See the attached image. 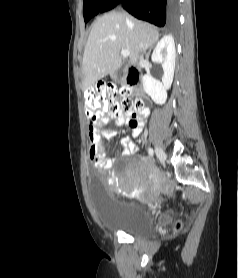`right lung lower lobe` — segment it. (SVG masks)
<instances>
[{
  "mask_svg": "<svg viewBox=\"0 0 238 278\" xmlns=\"http://www.w3.org/2000/svg\"><path fill=\"white\" fill-rule=\"evenodd\" d=\"M118 5L136 18L160 27L173 25L177 21L178 0H104L95 15Z\"/></svg>",
  "mask_w": 238,
  "mask_h": 278,
  "instance_id": "1",
  "label": "right lung lower lobe"
}]
</instances>
